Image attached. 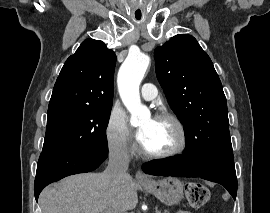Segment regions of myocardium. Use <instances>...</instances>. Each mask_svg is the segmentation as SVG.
Returning a JSON list of instances; mask_svg holds the SVG:
<instances>
[{"instance_id": "myocardium-1", "label": "myocardium", "mask_w": 270, "mask_h": 213, "mask_svg": "<svg viewBox=\"0 0 270 213\" xmlns=\"http://www.w3.org/2000/svg\"><path fill=\"white\" fill-rule=\"evenodd\" d=\"M154 119L168 120L172 122L179 133V143L172 149L165 152H159V153L148 152L147 150L143 148V146H141L140 147L141 155L147 159H167V158H172L174 156H177L181 154L182 152H184V150L187 147L188 139H187L186 129L183 123L180 121V119L174 114L169 113V112H160L154 117Z\"/></svg>"}]
</instances>
